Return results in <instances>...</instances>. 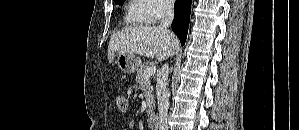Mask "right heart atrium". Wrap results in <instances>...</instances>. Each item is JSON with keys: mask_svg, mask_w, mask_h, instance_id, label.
<instances>
[{"mask_svg": "<svg viewBox=\"0 0 299 130\" xmlns=\"http://www.w3.org/2000/svg\"><path fill=\"white\" fill-rule=\"evenodd\" d=\"M149 5L148 16L152 22L160 21L173 8V1L170 0H145Z\"/></svg>", "mask_w": 299, "mask_h": 130, "instance_id": "d8ad5b80", "label": "right heart atrium"}]
</instances>
